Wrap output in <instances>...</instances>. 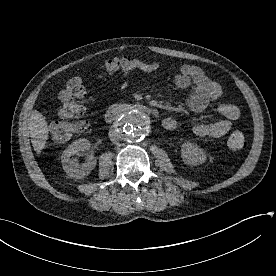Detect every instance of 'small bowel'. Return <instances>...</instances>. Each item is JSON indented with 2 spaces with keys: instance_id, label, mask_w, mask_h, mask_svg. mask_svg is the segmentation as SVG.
<instances>
[{
  "instance_id": "c3829d8e",
  "label": "small bowel",
  "mask_w": 276,
  "mask_h": 276,
  "mask_svg": "<svg viewBox=\"0 0 276 276\" xmlns=\"http://www.w3.org/2000/svg\"><path fill=\"white\" fill-rule=\"evenodd\" d=\"M142 71L152 72L160 68L158 62H142ZM128 73H124L126 78ZM174 84L181 89H188L189 94L186 100L188 108L194 113L202 112L209 103L217 101L222 96L221 86L211 80L206 73L198 66L184 64L180 67L179 73L174 76ZM126 80L121 84L125 89ZM219 118L211 123H197L193 126V132L199 137L219 138L229 132L232 124L240 117V110L232 104L222 103L216 107ZM167 130L176 128L177 121L167 117L162 122Z\"/></svg>"
}]
</instances>
